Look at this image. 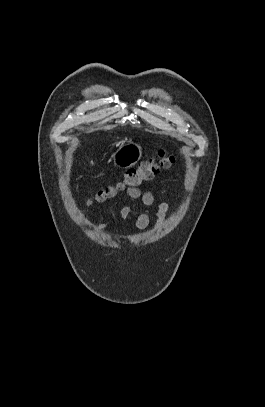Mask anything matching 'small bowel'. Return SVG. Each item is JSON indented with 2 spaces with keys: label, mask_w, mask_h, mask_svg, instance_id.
Returning a JSON list of instances; mask_svg holds the SVG:
<instances>
[{
  "label": "small bowel",
  "mask_w": 265,
  "mask_h": 407,
  "mask_svg": "<svg viewBox=\"0 0 265 407\" xmlns=\"http://www.w3.org/2000/svg\"><path fill=\"white\" fill-rule=\"evenodd\" d=\"M125 194L130 199H140L143 205V211L138 215L135 221V228L137 230H144L146 229L151 222L149 207L154 203V196L152 192L145 191L142 192L138 188H127ZM169 210V204L167 202H162L158 206V210L156 213V220L154 224L155 230H159L165 223L167 212ZM131 214V208L129 206H123L119 211V217L121 219H125L129 217ZM109 224L101 223L94 226V229L97 231H104L108 229Z\"/></svg>",
  "instance_id": "obj_1"
}]
</instances>
